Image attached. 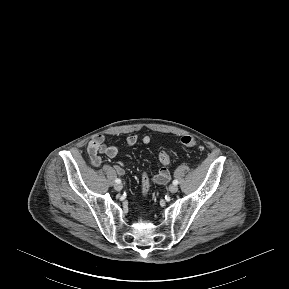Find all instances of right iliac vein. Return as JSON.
Wrapping results in <instances>:
<instances>
[{
	"label": "right iliac vein",
	"instance_id": "obj_1",
	"mask_svg": "<svg viewBox=\"0 0 289 289\" xmlns=\"http://www.w3.org/2000/svg\"><path fill=\"white\" fill-rule=\"evenodd\" d=\"M122 188H123V186H122L121 183H116V184L114 185V189H115L116 191H121Z\"/></svg>",
	"mask_w": 289,
	"mask_h": 289
}]
</instances>
